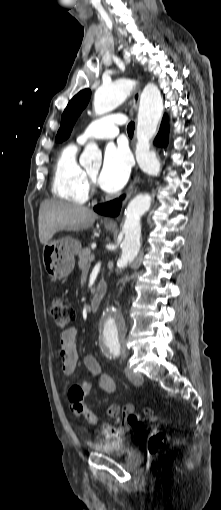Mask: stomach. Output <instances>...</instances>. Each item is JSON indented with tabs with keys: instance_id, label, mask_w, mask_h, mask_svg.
Listing matches in <instances>:
<instances>
[{
	"instance_id": "stomach-1",
	"label": "stomach",
	"mask_w": 221,
	"mask_h": 510,
	"mask_svg": "<svg viewBox=\"0 0 221 510\" xmlns=\"http://www.w3.org/2000/svg\"><path fill=\"white\" fill-rule=\"evenodd\" d=\"M107 230L113 227L105 226ZM81 250L79 240L65 237L59 240L49 241L43 247V264L51 280L66 278L74 269L75 255Z\"/></svg>"
}]
</instances>
